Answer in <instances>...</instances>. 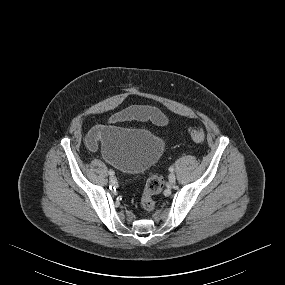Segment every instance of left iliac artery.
Instances as JSON below:
<instances>
[{
	"label": "left iliac artery",
	"instance_id": "left-iliac-artery-1",
	"mask_svg": "<svg viewBox=\"0 0 285 285\" xmlns=\"http://www.w3.org/2000/svg\"><path fill=\"white\" fill-rule=\"evenodd\" d=\"M169 171H170V172H173V171H174V168L171 166V167L169 168Z\"/></svg>",
	"mask_w": 285,
	"mask_h": 285
}]
</instances>
